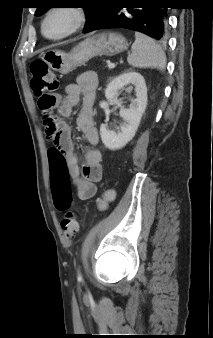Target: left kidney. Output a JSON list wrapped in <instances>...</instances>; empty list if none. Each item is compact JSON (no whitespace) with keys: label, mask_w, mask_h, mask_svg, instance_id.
Returning a JSON list of instances; mask_svg holds the SVG:
<instances>
[{"label":"left kidney","mask_w":213,"mask_h":338,"mask_svg":"<svg viewBox=\"0 0 213 338\" xmlns=\"http://www.w3.org/2000/svg\"><path fill=\"white\" fill-rule=\"evenodd\" d=\"M130 84L135 87L136 98L131 102L129 108L122 107L120 109V116L124 122L120 125L119 130L117 132L110 130L105 124L100 127L102 142L110 150L121 149L133 139L147 106L145 80L141 74L134 71H126L115 77L106 88V99L115 100L118 92ZM127 89H132V86Z\"/></svg>","instance_id":"obj_1"}]
</instances>
